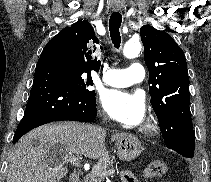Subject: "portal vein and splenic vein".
Listing matches in <instances>:
<instances>
[{
  "instance_id": "obj_1",
  "label": "portal vein and splenic vein",
  "mask_w": 211,
  "mask_h": 182,
  "mask_svg": "<svg viewBox=\"0 0 211 182\" xmlns=\"http://www.w3.org/2000/svg\"><path fill=\"white\" fill-rule=\"evenodd\" d=\"M65 160L69 161L70 163H72L73 165H75L77 167H79L81 165L80 160L77 157H75L74 155H72V154H67L65 156ZM114 172H115L114 169H110V170H108L107 172H105L103 174L109 175V174H113Z\"/></svg>"
}]
</instances>
